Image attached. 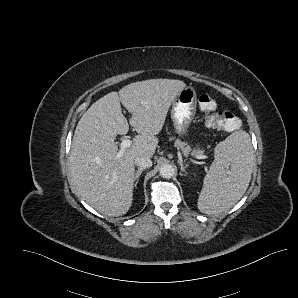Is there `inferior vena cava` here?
I'll return each mask as SVG.
<instances>
[{
  "label": "inferior vena cava",
  "mask_w": 298,
  "mask_h": 298,
  "mask_svg": "<svg viewBox=\"0 0 298 298\" xmlns=\"http://www.w3.org/2000/svg\"><path fill=\"white\" fill-rule=\"evenodd\" d=\"M134 162L137 166L144 167V168H150L153 165V162L150 158H146V157H143V156H137L134 159Z\"/></svg>",
  "instance_id": "602c4592"
}]
</instances>
